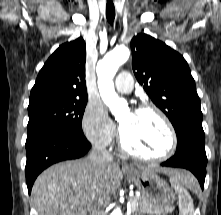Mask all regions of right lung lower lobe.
<instances>
[{
	"label": "right lung lower lobe",
	"instance_id": "1",
	"mask_svg": "<svg viewBox=\"0 0 221 215\" xmlns=\"http://www.w3.org/2000/svg\"><path fill=\"white\" fill-rule=\"evenodd\" d=\"M91 144L84 134L54 131L27 139L26 183L29 194L37 176L50 165L84 156Z\"/></svg>",
	"mask_w": 221,
	"mask_h": 215
}]
</instances>
